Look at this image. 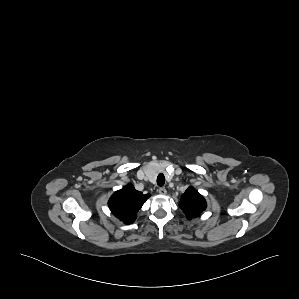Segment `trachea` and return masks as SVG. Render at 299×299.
<instances>
[{
    "mask_svg": "<svg viewBox=\"0 0 299 299\" xmlns=\"http://www.w3.org/2000/svg\"><path fill=\"white\" fill-rule=\"evenodd\" d=\"M157 184L159 186H163L165 184V176L162 173H160L157 177Z\"/></svg>",
    "mask_w": 299,
    "mask_h": 299,
    "instance_id": "obj_1",
    "label": "trachea"
}]
</instances>
